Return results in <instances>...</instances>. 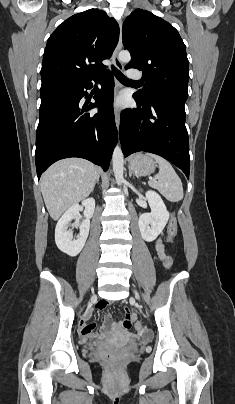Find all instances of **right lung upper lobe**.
<instances>
[{
    "label": "right lung upper lobe",
    "instance_id": "right-lung-upper-lobe-1",
    "mask_svg": "<svg viewBox=\"0 0 235 404\" xmlns=\"http://www.w3.org/2000/svg\"><path fill=\"white\" fill-rule=\"evenodd\" d=\"M119 37V26L99 9L65 20L51 34L43 55L42 85L92 79L103 74Z\"/></svg>",
    "mask_w": 235,
    "mask_h": 404
}]
</instances>
